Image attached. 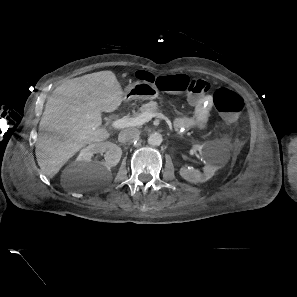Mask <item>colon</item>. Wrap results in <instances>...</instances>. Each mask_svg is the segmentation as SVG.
<instances>
[{
    "instance_id": "obj_1",
    "label": "colon",
    "mask_w": 297,
    "mask_h": 297,
    "mask_svg": "<svg viewBox=\"0 0 297 297\" xmlns=\"http://www.w3.org/2000/svg\"><path fill=\"white\" fill-rule=\"evenodd\" d=\"M137 77L150 81L165 92L173 94L186 93L192 99L206 96L210 84L204 79L190 78L186 75H168L154 77L148 72H138ZM215 108L221 113L226 125L235 123L244 108L242 97L228 88H219L213 95ZM241 145V143H240Z\"/></svg>"
}]
</instances>
